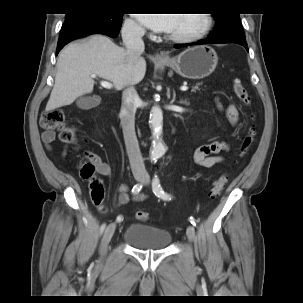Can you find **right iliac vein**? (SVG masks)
Here are the masks:
<instances>
[{
    "label": "right iliac vein",
    "mask_w": 303,
    "mask_h": 303,
    "mask_svg": "<svg viewBox=\"0 0 303 303\" xmlns=\"http://www.w3.org/2000/svg\"><path fill=\"white\" fill-rule=\"evenodd\" d=\"M134 178H135V180L140 181V180H142L143 175L135 174ZM115 229H116V223L113 222L107 226V228L104 232L102 242H101V249H100L101 259H103V257L105 256L107 246L114 235Z\"/></svg>",
    "instance_id": "63e3f726"
}]
</instances>
